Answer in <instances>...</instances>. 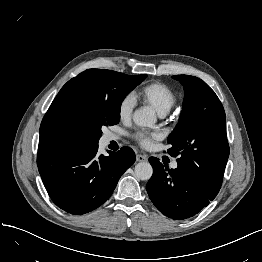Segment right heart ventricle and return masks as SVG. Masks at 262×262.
I'll return each mask as SVG.
<instances>
[{"label":"right heart ventricle","instance_id":"right-heart-ventricle-1","mask_svg":"<svg viewBox=\"0 0 262 262\" xmlns=\"http://www.w3.org/2000/svg\"><path fill=\"white\" fill-rule=\"evenodd\" d=\"M135 96L150 104L161 115L168 113L177 101L174 91L161 82L143 86Z\"/></svg>","mask_w":262,"mask_h":262}]
</instances>
